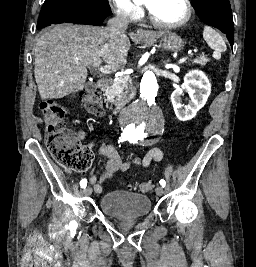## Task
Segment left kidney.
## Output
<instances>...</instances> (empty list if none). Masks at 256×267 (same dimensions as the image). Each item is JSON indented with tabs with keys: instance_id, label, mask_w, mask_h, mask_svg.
Listing matches in <instances>:
<instances>
[{
	"instance_id": "1",
	"label": "left kidney",
	"mask_w": 256,
	"mask_h": 267,
	"mask_svg": "<svg viewBox=\"0 0 256 267\" xmlns=\"http://www.w3.org/2000/svg\"><path fill=\"white\" fill-rule=\"evenodd\" d=\"M187 92L190 96V102L183 110L181 96ZM211 94V84L200 70H191L184 76V84L174 90L171 94V102L174 112L180 122H187L196 116L197 112L205 106Z\"/></svg>"
}]
</instances>
